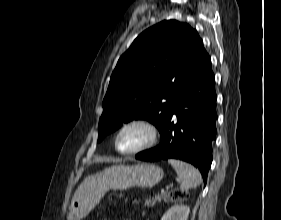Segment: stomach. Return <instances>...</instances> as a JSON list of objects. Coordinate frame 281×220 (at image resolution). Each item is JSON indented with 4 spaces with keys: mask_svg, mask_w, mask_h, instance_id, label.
Returning a JSON list of instances; mask_svg holds the SVG:
<instances>
[{
    "mask_svg": "<svg viewBox=\"0 0 281 220\" xmlns=\"http://www.w3.org/2000/svg\"><path fill=\"white\" fill-rule=\"evenodd\" d=\"M163 170L154 164L115 165L84 179L74 193L68 220H81L88 215L109 190L138 186L153 187L163 178Z\"/></svg>",
    "mask_w": 281,
    "mask_h": 220,
    "instance_id": "0dacf381",
    "label": "stomach"
}]
</instances>
